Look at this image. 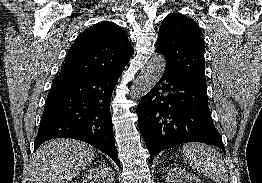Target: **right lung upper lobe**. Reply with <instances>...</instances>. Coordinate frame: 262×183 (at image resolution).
<instances>
[{
  "label": "right lung upper lobe",
  "mask_w": 262,
  "mask_h": 183,
  "mask_svg": "<svg viewBox=\"0 0 262 183\" xmlns=\"http://www.w3.org/2000/svg\"><path fill=\"white\" fill-rule=\"evenodd\" d=\"M133 53L128 37L118 25L101 22L75 40L58 77L120 72Z\"/></svg>",
  "instance_id": "1"
}]
</instances>
